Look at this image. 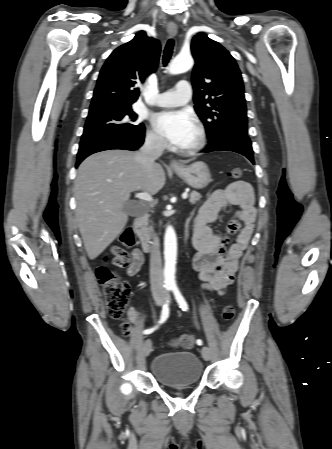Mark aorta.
<instances>
[{"label": "aorta", "mask_w": 332, "mask_h": 449, "mask_svg": "<svg viewBox=\"0 0 332 449\" xmlns=\"http://www.w3.org/2000/svg\"><path fill=\"white\" fill-rule=\"evenodd\" d=\"M193 67V59L190 55L180 54L169 65L170 74H180ZM177 259V237L172 226H168L164 235V280L167 285H175V271Z\"/></svg>", "instance_id": "762f6f07"}]
</instances>
